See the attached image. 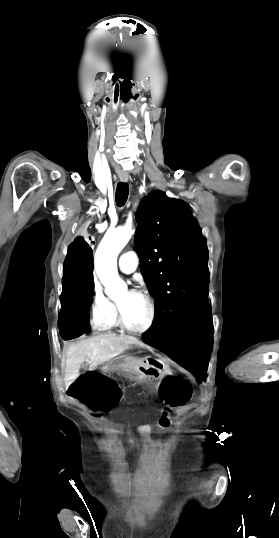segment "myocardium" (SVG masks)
Masks as SVG:
<instances>
[{"mask_svg": "<svg viewBox=\"0 0 279 538\" xmlns=\"http://www.w3.org/2000/svg\"><path fill=\"white\" fill-rule=\"evenodd\" d=\"M101 226H103V223L98 224L97 228L101 227ZM129 291L136 294V295L141 296L146 301L147 306H148V312H149L147 321L141 328H133V327H131L126 321L123 306H122L121 302L117 300L118 323L126 332H128L130 334H133V335L140 336V335H143V334L147 333L148 331H150L151 328L153 327V325L155 323V319H156V307H155V303H154L152 297L145 290H134V289H132V290H129Z\"/></svg>", "mask_w": 279, "mask_h": 538, "instance_id": "1", "label": "myocardium"}]
</instances>
